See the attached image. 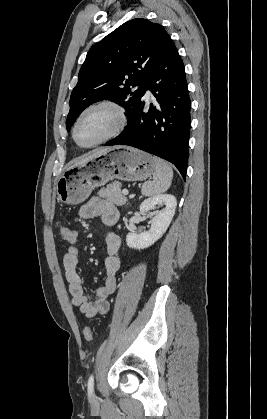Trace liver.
Returning <instances> with one entry per match:
<instances>
[{
	"label": "liver",
	"mask_w": 267,
	"mask_h": 419,
	"mask_svg": "<svg viewBox=\"0 0 267 419\" xmlns=\"http://www.w3.org/2000/svg\"><path fill=\"white\" fill-rule=\"evenodd\" d=\"M109 149L110 148H101V149L93 150L88 156H86L85 158H83L82 160L77 162L75 165L82 164V163L86 162L87 160H89L91 158H94L95 156H97L99 154H103L104 152L108 151Z\"/></svg>",
	"instance_id": "liver-1"
}]
</instances>
